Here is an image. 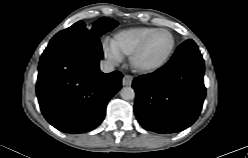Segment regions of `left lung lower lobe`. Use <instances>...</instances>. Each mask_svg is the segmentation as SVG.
<instances>
[{
	"instance_id": "obj_1",
	"label": "left lung lower lobe",
	"mask_w": 248,
	"mask_h": 158,
	"mask_svg": "<svg viewBox=\"0 0 248 158\" xmlns=\"http://www.w3.org/2000/svg\"><path fill=\"white\" fill-rule=\"evenodd\" d=\"M204 60L193 40L183 42L169 62L134 79V112L143 128L180 132L198 118L205 98Z\"/></svg>"
}]
</instances>
